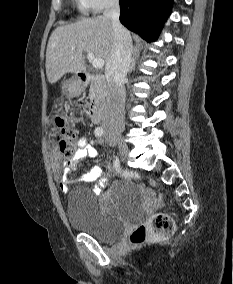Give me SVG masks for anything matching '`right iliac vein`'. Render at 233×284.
<instances>
[{
  "mask_svg": "<svg viewBox=\"0 0 233 284\" xmlns=\"http://www.w3.org/2000/svg\"><path fill=\"white\" fill-rule=\"evenodd\" d=\"M111 138L115 142V144L118 145V147H119L120 151L122 152V154L126 155L127 152H128V147H127L124 139L121 136H119V135H114Z\"/></svg>",
  "mask_w": 233,
  "mask_h": 284,
  "instance_id": "1",
  "label": "right iliac vein"
}]
</instances>
